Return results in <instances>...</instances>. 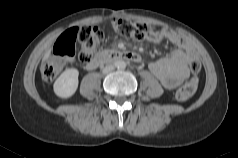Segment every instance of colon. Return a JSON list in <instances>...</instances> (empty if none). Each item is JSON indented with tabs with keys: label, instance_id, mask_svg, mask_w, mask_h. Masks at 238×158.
Returning a JSON list of instances; mask_svg holds the SVG:
<instances>
[{
	"label": "colon",
	"instance_id": "obj_1",
	"mask_svg": "<svg viewBox=\"0 0 238 158\" xmlns=\"http://www.w3.org/2000/svg\"><path fill=\"white\" fill-rule=\"evenodd\" d=\"M112 27L119 35L136 40L151 38L159 34L154 26L122 17L114 18ZM103 39V33L96 27L79 26L67 30L57 39L53 54L43 62L42 78L45 81L55 79L77 51L80 61L88 62L95 49L102 44ZM189 68L193 75H197L200 72L201 64L198 60H193L190 62ZM197 87L198 79L194 76L176 91L177 101L185 102L190 99Z\"/></svg>",
	"mask_w": 238,
	"mask_h": 158
}]
</instances>
